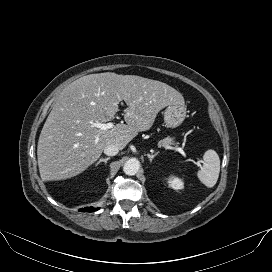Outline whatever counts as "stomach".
<instances>
[{
	"mask_svg": "<svg viewBox=\"0 0 272 272\" xmlns=\"http://www.w3.org/2000/svg\"><path fill=\"white\" fill-rule=\"evenodd\" d=\"M184 104H170L164 111V122L169 128H176L182 124L186 117Z\"/></svg>",
	"mask_w": 272,
	"mask_h": 272,
	"instance_id": "obj_1",
	"label": "stomach"
}]
</instances>
